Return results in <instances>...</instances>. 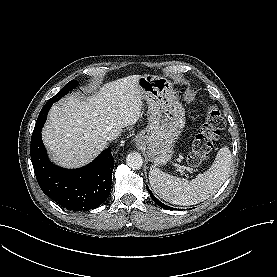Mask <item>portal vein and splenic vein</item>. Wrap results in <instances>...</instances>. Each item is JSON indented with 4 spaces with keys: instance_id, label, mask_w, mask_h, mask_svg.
<instances>
[{
    "instance_id": "portal-vein-and-splenic-vein-1",
    "label": "portal vein and splenic vein",
    "mask_w": 277,
    "mask_h": 277,
    "mask_svg": "<svg viewBox=\"0 0 277 277\" xmlns=\"http://www.w3.org/2000/svg\"><path fill=\"white\" fill-rule=\"evenodd\" d=\"M174 166H176V167L178 168V171L181 172V173H183L184 170L186 169L185 166H181V165H179V164H175Z\"/></svg>"
}]
</instances>
